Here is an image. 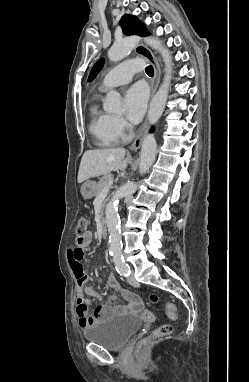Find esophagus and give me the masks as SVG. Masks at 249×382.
<instances>
[{
    "label": "esophagus",
    "instance_id": "obj_1",
    "mask_svg": "<svg viewBox=\"0 0 249 382\" xmlns=\"http://www.w3.org/2000/svg\"><path fill=\"white\" fill-rule=\"evenodd\" d=\"M134 51L136 54L148 60L154 68V76L151 81V97H153L160 82L161 69H160L159 62L157 58L155 57V55L152 53V51L149 48H147L144 44H138L135 47ZM147 126H148V122L146 120L143 123L139 133L137 134L134 142L132 143L130 147L132 151H137L140 149Z\"/></svg>",
    "mask_w": 249,
    "mask_h": 382
}]
</instances>
